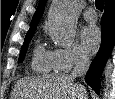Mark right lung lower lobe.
Returning <instances> with one entry per match:
<instances>
[{
	"label": "right lung lower lobe",
	"mask_w": 115,
	"mask_h": 99,
	"mask_svg": "<svg viewBox=\"0 0 115 99\" xmlns=\"http://www.w3.org/2000/svg\"><path fill=\"white\" fill-rule=\"evenodd\" d=\"M101 46L85 77L86 82L99 94L100 77L115 42V2L106 4L101 21Z\"/></svg>",
	"instance_id": "obj_1"
}]
</instances>
